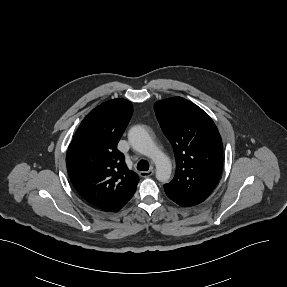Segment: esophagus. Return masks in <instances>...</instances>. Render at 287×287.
I'll return each instance as SVG.
<instances>
[{"mask_svg":"<svg viewBox=\"0 0 287 287\" xmlns=\"http://www.w3.org/2000/svg\"><path fill=\"white\" fill-rule=\"evenodd\" d=\"M153 174H154V170L153 169H150L149 171H140L139 172V175L141 177H144V178L149 177V176H151Z\"/></svg>","mask_w":287,"mask_h":287,"instance_id":"1","label":"esophagus"}]
</instances>
